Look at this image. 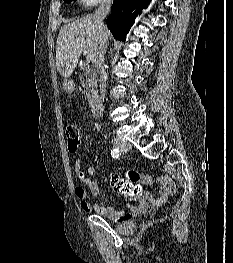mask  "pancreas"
<instances>
[{"instance_id": "1", "label": "pancreas", "mask_w": 233, "mask_h": 263, "mask_svg": "<svg viewBox=\"0 0 233 263\" xmlns=\"http://www.w3.org/2000/svg\"><path fill=\"white\" fill-rule=\"evenodd\" d=\"M83 74L80 76V83L82 84V93L92 103L97 98V71L94 67L85 64L83 66Z\"/></svg>"}]
</instances>
